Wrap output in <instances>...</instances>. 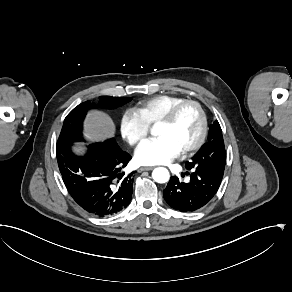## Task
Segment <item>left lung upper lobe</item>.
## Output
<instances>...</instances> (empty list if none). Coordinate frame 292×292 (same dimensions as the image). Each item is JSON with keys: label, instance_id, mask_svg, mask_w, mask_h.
Segmentation results:
<instances>
[{"label": "left lung upper lobe", "instance_id": "1", "mask_svg": "<svg viewBox=\"0 0 292 292\" xmlns=\"http://www.w3.org/2000/svg\"><path fill=\"white\" fill-rule=\"evenodd\" d=\"M225 163L226 152L222 130L218 121H214L210 126L207 142L186 164L204 172L224 173Z\"/></svg>", "mask_w": 292, "mask_h": 292}]
</instances>
